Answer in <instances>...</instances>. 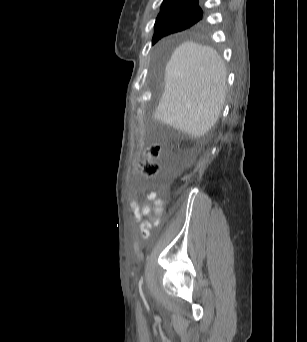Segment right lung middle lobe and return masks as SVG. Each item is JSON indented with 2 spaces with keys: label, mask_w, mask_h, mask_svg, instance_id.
<instances>
[{
  "label": "right lung middle lobe",
  "mask_w": 307,
  "mask_h": 342,
  "mask_svg": "<svg viewBox=\"0 0 307 342\" xmlns=\"http://www.w3.org/2000/svg\"><path fill=\"white\" fill-rule=\"evenodd\" d=\"M203 10H174L158 15L155 23L154 44L163 36L185 30L201 19Z\"/></svg>",
  "instance_id": "right-lung-middle-lobe-1"
}]
</instances>
